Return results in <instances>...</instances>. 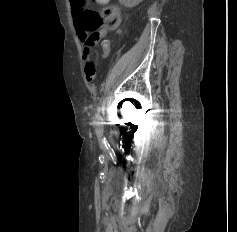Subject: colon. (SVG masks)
Returning a JSON list of instances; mask_svg holds the SVG:
<instances>
[{
	"label": "colon",
	"mask_w": 237,
	"mask_h": 232,
	"mask_svg": "<svg viewBox=\"0 0 237 232\" xmlns=\"http://www.w3.org/2000/svg\"><path fill=\"white\" fill-rule=\"evenodd\" d=\"M76 28L82 39L90 44H95L100 38V28L105 19L114 15V10L111 7L103 9L101 14H98L86 8V0H70ZM95 2V0H93Z\"/></svg>",
	"instance_id": "colon-1"
}]
</instances>
